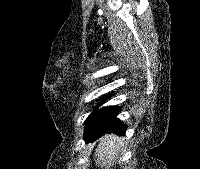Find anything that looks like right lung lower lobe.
<instances>
[{
    "instance_id": "98d812e1",
    "label": "right lung lower lobe",
    "mask_w": 200,
    "mask_h": 169,
    "mask_svg": "<svg viewBox=\"0 0 200 169\" xmlns=\"http://www.w3.org/2000/svg\"><path fill=\"white\" fill-rule=\"evenodd\" d=\"M119 111L116 106H108L98 110L87 121L84 138L87 141H94L106 133L124 134L126 125L117 118Z\"/></svg>"
}]
</instances>
